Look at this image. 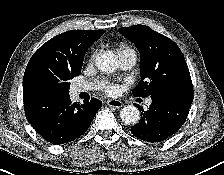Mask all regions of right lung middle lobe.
<instances>
[{
	"instance_id": "obj_1",
	"label": "right lung middle lobe",
	"mask_w": 224,
	"mask_h": 175,
	"mask_svg": "<svg viewBox=\"0 0 224 175\" xmlns=\"http://www.w3.org/2000/svg\"><path fill=\"white\" fill-rule=\"evenodd\" d=\"M79 73L72 74V75H65L61 77H48L46 78L41 85V92L46 93H69L70 83L69 80L73 77L79 75Z\"/></svg>"
}]
</instances>
